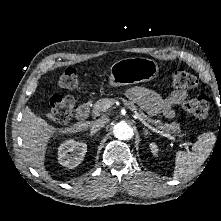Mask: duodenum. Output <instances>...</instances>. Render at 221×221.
Returning <instances> with one entry per match:
<instances>
[{"mask_svg":"<svg viewBox=\"0 0 221 221\" xmlns=\"http://www.w3.org/2000/svg\"><path fill=\"white\" fill-rule=\"evenodd\" d=\"M90 112H91V103L85 102L77 108L75 117L77 120H84L89 116Z\"/></svg>","mask_w":221,"mask_h":221,"instance_id":"1","label":"duodenum"}]
</instances>
